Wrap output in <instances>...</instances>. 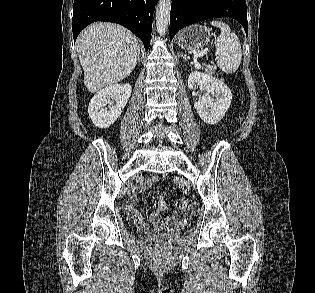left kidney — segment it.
Instances as JSON below:
<instances>
[{"instance_id":"5707ae66","label":"left kidney","mask_w":315,"mask_h":293,"mask_svg":"<svg viewBox=\"0 0 315 293\" xmlns=\"http://www.w3.org/2000/svg\"><path fill=\"white\" fill-rule=\"evenodd\" d=\"M196 86H202L206 91V95L194 104L198 115L207 124L218 123L230 107L231 90L223 81L198 71L190 73L188 78V88L194 89ZM214 94L215 98L211 96Z\"/></svg>"}]
</instances>
